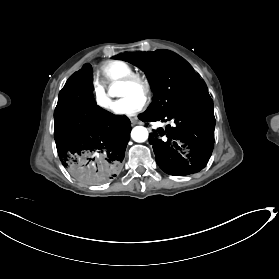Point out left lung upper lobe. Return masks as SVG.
Masks as SVG:
<instances>
[{"label": "left lung upper lobe", "mask_w": 279, "mask_h": 279, "mask_svg": "<svg viewBox=\"0 0 279 279\" xmlns=\"http://www.w3.org/2000/svg\"><path fill=\"white\" fill-rule=\"evenodd\" d=\"M113 58L130 62L145 72L154 93L146 113L165 114L209 94L193 68L170 52L123 53Z\"/></svg>", "instance_id": "left-lung-upper-lobe-1"}]
</instances>
